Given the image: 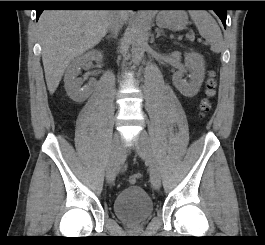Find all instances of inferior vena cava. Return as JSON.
Returning <instances> with one entry per match:
<instances>
[{
  "mask_svg": "<svg viewBox=\"0 0 265 245\" xmlns=\"http://www.w3.org/2000/svg\"><path fill=\"white\" fill-rule=\"evenodd\" d=\"M122 23L123 21L119 17H115L109 29L114 33H118V31L122 27Z\"/></svg>",
  "mask_w": 265,
  "mask_h": 245,
  "instance_id": "1",
  "label": "inferior vena cava"
}]
</instances>
